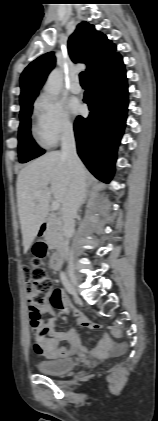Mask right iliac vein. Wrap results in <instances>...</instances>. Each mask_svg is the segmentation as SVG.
I'll return each mask as SVG.
<instances>
[{
	"label": "right iliac vein",
	"mask_w": 158,
	"mask_h": 421,
	"mask_svg": "<svg viewBox=\"0 0 158 421\" xmlns=\"http://www.w3.org/2000/svg\"><path fill=\"white\" fill-rule=\"evenodd\" d=\"M68 277H69V281H70L72 287L74 289H76L77 286H78V279H77V275H76L73 268L68 269Z\"/></svg>",
	"instance_id": "right-iliac-vein-1"
}]
</instances>
